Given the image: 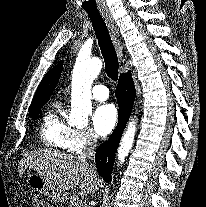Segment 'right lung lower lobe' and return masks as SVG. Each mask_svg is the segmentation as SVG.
<instances>
[{"instance_id":"1","label":"right lung lower lobe","mask_w":206,"mask_h":207,"mask_svg":"<svg viewBox=\"0 0 206 207\" xmlns=\"http://www.w3.org/2000/svg\"><path fill=\"white\" fill-rule=\"evenodd\" d=\"M116 98L119 106L117 127L109 139L98 147L95 156L97 170L106 182L111 180L115 153L135 99V87L130 72L120 75Z\"/></svg>"}]
</instances>
